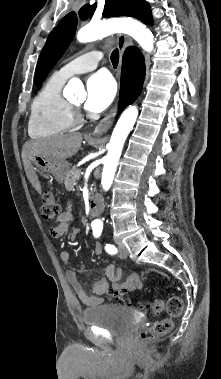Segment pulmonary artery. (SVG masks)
<instances>
[{
    "instance_id": "e3ab8cb5",
    "label": "pulmonary artery",
    "mask_w": 221,
    "mask_h": 379,
    "mask_svg": "<svg viewBox=\"0 0 221 379\" xmlns=\"http://www.w3.org/2000/svg\"><path fill=\"white\" fill-rule=\"evenodd\" d=\"M103 55L99 51H90L61 67L56 74L68 79L76 74L92 71L97 68Z\"/></svg>"
}]
</instances>
